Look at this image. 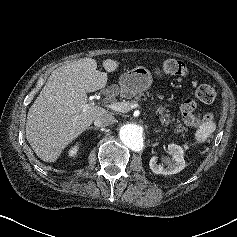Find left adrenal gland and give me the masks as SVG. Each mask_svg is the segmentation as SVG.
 Returning a JSON list of instances; mask_svg holds the SVG:
<instances>
[{
  "instance_id": "left-adrenal-gland-1",
  "label": "left adrenal gland",
  "mask_w": 237,
  "mask_h": 237,
  "mask_svg": "<svg viewBox=\"0 0 237 237\" xmlns=\"http://www.w3.org/2000/svg\"><path fill=\"white\" fill-rule=\"evenodd\" d=\"M154 132H155V133H159V132H160V130H155Z\"/></svg>"
}]
</instances>
